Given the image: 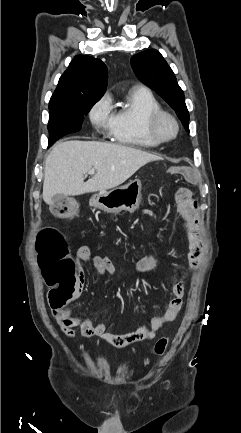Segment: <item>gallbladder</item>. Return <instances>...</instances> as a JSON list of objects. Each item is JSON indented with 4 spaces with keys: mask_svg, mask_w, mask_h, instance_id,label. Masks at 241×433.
I'll return each mask as SVG.
<instances>
[{
    "mask_svg": "<svg viewBox=\"0 0 241 433\" xmlns=\"http://www.w3.org/2000/svg\"><path fill=\"white\" fill-rule=\"evenodd\" d=\"M65 196L62 194H56L52 197L51 203L52 204H56L62 200H64Z\"/></svg>",
    "mask_w": 241,
    "mask_h": 433,
    "instance_id": "1",
    "label": "gallbladder"
}]
</instances>
